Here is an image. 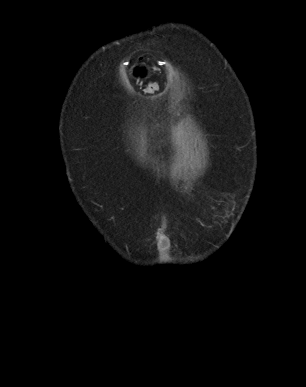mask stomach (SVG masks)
<instances>
[{
    "label": "stomach",
    "mask_w": 306,
    "mask_h": 387,
    "mask_svg": "<svg viewBox=\"0 0 306 387\" xmlns=\"http://www.w3.org/2000/svg\"><path fill=\"white\" fill-rule=\"evenodd\" d=\"M129 72L130 73H143L144 67L143 66H130ZM137 82H150V75H137Z\"/></svg>",
    "instance_id": "1"
}]
</instances>
